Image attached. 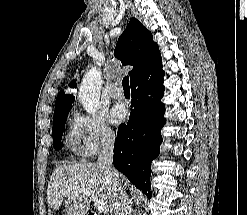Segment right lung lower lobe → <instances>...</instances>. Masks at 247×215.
<instances>
[{
  "label": "right lung lower lobe",
  "instance_id": "98d812e1",
  "mask_svg": "<svg viewBox=\"0 0 247 215\" xmlns=\"http://www.w3.org/2000/svg\"><path fill=\"white\" fill-rule=\"evenodd\" d=\"M164 71L159 56L131 81L132 101L127 125H120L113 164L133 185L151 198V162L159 155L164 126Z\"/></svg>",
  "mask_w": 247,
  "mask_h": 215
}]
</instances>
